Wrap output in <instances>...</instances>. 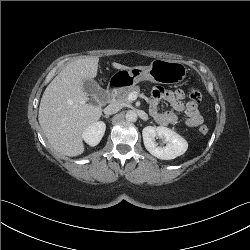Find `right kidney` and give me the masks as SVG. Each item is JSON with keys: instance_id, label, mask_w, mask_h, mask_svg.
Instances as JSON below:
<instances>
[{"instance_id": "obj_1", "label": "right kidney", "mask_w": 250, "mask_h": 250, "mask_svg": "<svg viewBox=\"0 0 250 250\" xmlns=\"http://www.w3.org/2000/svg\"><path fill=\"white\" fill-rule=\"evenodd\" d=\"M106 125L104 122H95L88 126L82 134L84 141L90 146H96L101 141L105 133Z\"/></svg>"}]
</instances>
